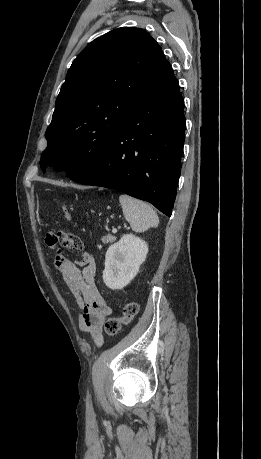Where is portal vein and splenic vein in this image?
Segmentation results:
<instances>
[{"label":"portal vein and splenic vein","instance_id":"portal-vein-and-splenic-vein-1","mask_svg":"<svg viewBox=\"0 0 261 459\" xmlns=\"http://www.w3.org/2000/svg\"><path fill=\"white\" fill-rule=\"evenodd\" d=\"M112 232H113V233H117V229H116V228H113V229H112Z\"/></svg>","mask_w":261,"mask_h":459}]
</instances>
